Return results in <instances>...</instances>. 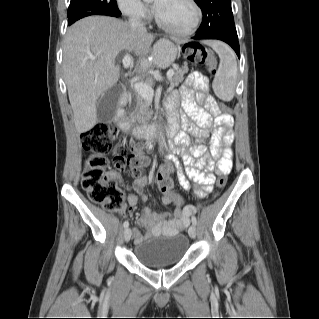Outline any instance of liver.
Masks as SVG:
<instances>
[{"mask_svg":"<svg viewBox=\"0 0 319 319\" xmlns=\"http://www.w3.org/2000/svg\"><path fill=\"white\" fill-rule=\"evenodd\" d=\"M154 36L133 30L129 23L106 16H91L73 24L63 47V71L78 133L94 127L97 103L119 79L115 59L121 52L141 58L143 70L156 64L146 56Z\"/></svg>","mask_w":319,"mask_h":319,"instance_id":"6515ba94","label":"liver"}]
</instances>
